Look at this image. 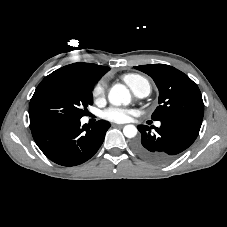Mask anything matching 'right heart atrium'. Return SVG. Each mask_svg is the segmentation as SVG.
Wrapping results in <instances>:
<instances>
[{
    "label": "right heart atrium",
    "instance_id": "1",
    "mask_svg": "<svg viewBox=\"0 0 227 227\" xmlns=\"http://www.w3.org/2000/svg\"><path fill=\"white\" fill-rule=\"evenodd\" d=\"M105 88H106L105 80L98 81L92 89V96L95 99H101L105 94Z\"/></svg>",
    "mask_w": 227,
    "mask_h": 227
}]
</instances>
